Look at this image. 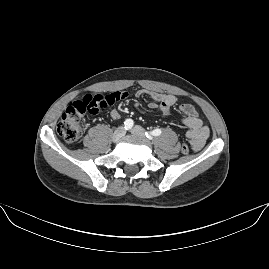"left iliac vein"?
I'll list each match as a JSON object with an SVG mask.
<instances>
[{"instance_id": "obj_1", "label": "left iliac vein", "mask_w": 269, "mask_h": 269, "mask_svg": "<svg viewBox=\"0 0 269 269\" xmlns=\"http://www.w3.org/2000/svg\"><path fill=\"white\" fill-rule=\"evenodd\" d=\"M132 134H134L135 136L144 138L146 136V132L144 131V129L138 125L134 126L133 129L131 130Z\"/></svg>"}]
</instances>
